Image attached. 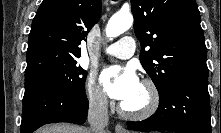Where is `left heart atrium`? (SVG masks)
I'll use <instances>...</instances> for the list:
<instances>
[{"label":"left heart atrium","mask_w":221,"mask_h":133,"mask_svg":"<svg viewBox=\"0 0 221 133\" xmlns=\"http://www.w3.org/2000/svg\"><path fill=\"white\" fill-rule=\"evenodd\" d=\"M101 83L108 95L124 104L131 100L141 87V82L132 67L111 66L101 75Z\"/></svg>","instance_id":"obj_1"}]
</instances>
